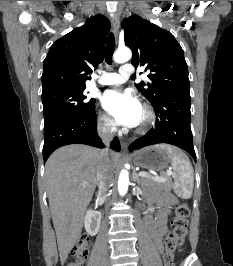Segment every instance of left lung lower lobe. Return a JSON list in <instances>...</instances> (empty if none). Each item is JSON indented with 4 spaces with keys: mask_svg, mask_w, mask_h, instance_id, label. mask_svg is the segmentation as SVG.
<instances>
[{
    "mask_svg": "<svg viewBox=\"0 0 233 266\" xmlns=\"http://www.w3.org/2000/svg\"><path fill=\"white\" fill-rule=\"evenodd\" d=\"M190 101V92L186 91L165 96L153 106L157 116L155 128L134 141L129 150L168 143L184 149L196 161L190 127Z\"/></svg>",
    "mask_w": 233,
    "mask_h": 266,
    "instance_id": "obj_1",
    "label": "left lung lower lobe"
}]
</instances>
